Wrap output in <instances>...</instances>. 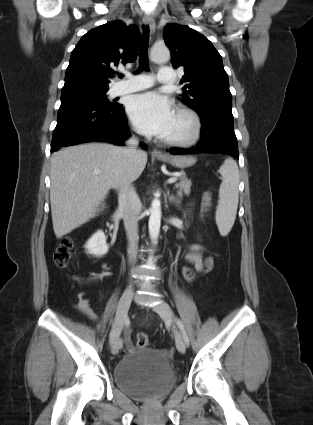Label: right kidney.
Listing matches in <instances>:
<instances>
[{
  "instance_id": "1",
  "label": "right kidney",
  "mask_w": 313,
  "mask_h": 425,
  "mask_svg": "<svg viewBox=\"0 0 313 425\" xmlns=\"http://www.w3.org/2000/svg\"><path fill=\"white\" fill-rule=\"evenodd\" d=\"M85 248L95 256H102L108 252L109 246L103 231H97L86 243Z\"/></svg>"
}]
</instances>
